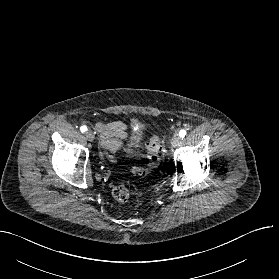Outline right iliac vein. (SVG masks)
Instances as JSON below:
<instances>
[{
	"instance_id": "1",
	"label": "right iliac vein",
	"mask_w": 279,
	"mask_h": 279,
	"mask_svg": "<svg viewBox=\"0 0 279 279\" xmlns=\"http://www.w3.org/2000/svg\"><path fill=\"white\" fill-rule=\"evenodd\" d=\"M85 136L88 141H93L95 139V135L91 130L87 131Z\"/></svg>"
}]
</instances>
